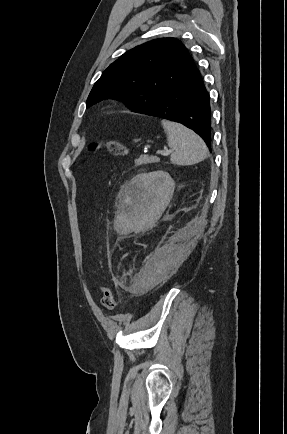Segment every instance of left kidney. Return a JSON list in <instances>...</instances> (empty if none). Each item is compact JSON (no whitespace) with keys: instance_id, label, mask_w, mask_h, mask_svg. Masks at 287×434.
<instances>
[{"instance_id":"5707ae66","label":"left kidney","mask_w":287,"mask_h":434,"mask_svg":"<svg viewBox=\"0 0 287 434\" xmlns=\"http://www.w3.org/2000/svg\"><path fill=\"white\" fill-rule=\"evenodd\" d=\"M174 189L175 182L165 171L139 174L125 186L124 207L131 217L139 214L143 220L157 219L170 202Z\"/></svg>"}]
</instances>
